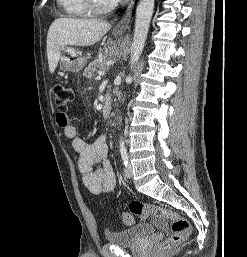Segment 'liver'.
Wrapping results in <instances>:
<instances>
[{"instance_id": "liver-1", "label": "liver", "mask_w": 247, "mask_h": 257, "mask_svg": "<svg viewBox=\"0 0 247 257\" xmlns=\"http://www.w3.org/2000/svg\"><path fill=\"white\" fill-rule=\"evenodd\" d=\"M111 25L97 19L58 18L47 33L49 71L54 73L60 53L66 46H91L110 30Z\"/></svg>"}]
</instances>
